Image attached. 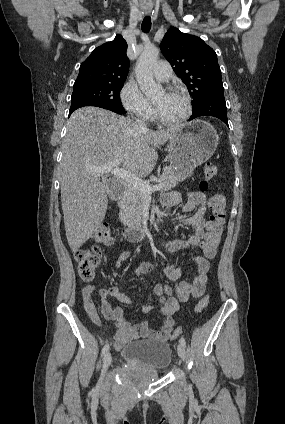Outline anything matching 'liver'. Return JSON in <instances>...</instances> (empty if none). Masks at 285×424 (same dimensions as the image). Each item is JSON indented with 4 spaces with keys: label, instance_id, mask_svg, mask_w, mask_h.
Segmentation results:
<instances>
[{
    "label": "liver",
    "instance_id": "obj_1",
    "mask_svg": "<svg viewBox=\"0 0 285 424\" xmlns=\"http://www.w3.org/2000/svg\"><path fill=\"white\" fill-rule=\"evenodd\" d=\"M177 128L157 132L97 107L76 110L67 122L60 162L61 203L68 244L80 248L100 227L108 206V187L93 169L120 161L137 177L148 176L158 159L156 148Z\"/></svg>",
    "mask_w": 285,
    "mask_h": 424
}]
</instances>
